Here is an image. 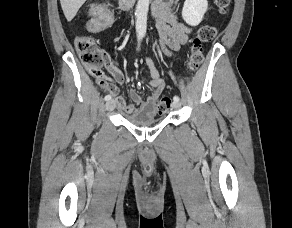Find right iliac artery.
<instances>
[{"label":"right iliac artery","mask_w":292,"mask_h":228,"mask_svg":"<svg viewBox=\"0 0 292 228\" xmlns=\"http://www.w3.org/2000/svg\"><path fill=\"white\" fill-rule=\"evenodd\" d=\"M141 39H142V37L141 36H138V49H139V46H140ZM110 99H111V95H106L105 96V100L106 101H108Z\"/></svg>","instance_id":"obj_1"}]
</instances>
